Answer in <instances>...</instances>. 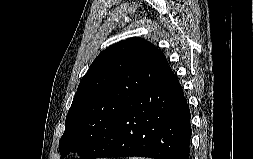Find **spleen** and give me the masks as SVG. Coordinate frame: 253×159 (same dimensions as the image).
I'll list each match as a JSON object with an SVG mask.
<instances>
[{
    "mask_svg": "<svg viewBox=\"0 0 253 159\" xmlns=\"http://www.w3.org/2000/svg\"><path fill=\"white\" fill-rule=\"evenodd\" d=\"M129 159H147V158H142V157H130Z\"/></svg>",
    "mask_w": 253,
    "mask_h": 159,
    "instance_id": "spleen-1",
    "label": "spleen"
}]
</instances>
